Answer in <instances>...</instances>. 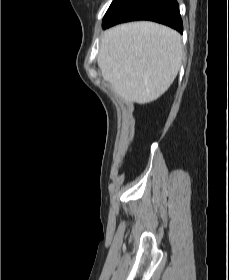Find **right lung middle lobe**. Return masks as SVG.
I'll list each match as a JSON object with an SVG mask.
<instances>
[{
  "mask_svg": "<svg viewBox=\"0 0 229 280\" xmlns=\"http://www.w3.org/2000/svg\"><path fill=\"white\" fill-rule=\"evenodd\" d=\"M116 0H113L112 4L110 5L107 13L105 14V16L110 12V10L112 9L113 5L115 4Z\"/></svg>",
  "mask_w": 229,
  "mask_h": 280,
  "instance_id": "right-lung-middle-lobe-1",
  "label": "right lung middle lobe"
}]
</instances>
